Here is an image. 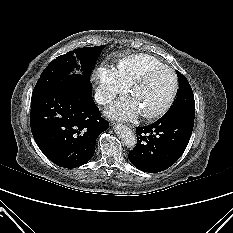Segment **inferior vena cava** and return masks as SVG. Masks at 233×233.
Listing matches in <instances>:
<instances>
[{"mask_svg": "<svg viewBox=\"0 0 233 233\" xmlns=\"http://www.w3.org/2000/svg\"><path fill=\"white\" fill-rule=\"evenodd\" d=\"M94 98L98 104L104 105L112 101L113 95L106 91L97 90L94 95Z\"/></svg>", "mask_w": 233, "mask_h": 233, "instance_id": "obj_1", "label": "inferior vena cava"}]
</instances>
